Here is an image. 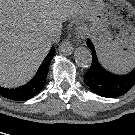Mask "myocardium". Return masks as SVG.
<instances>
[{
	"mask_svg": "<svg viewBox=\"0 0 135 135\" xmlns=\"http://www.w3.org/2000/svg\"><path fill=\"white\" fill-rule=\"evenodd\" d=\"M87 31H88V28L85 26L81 28L80 33L85 34Z\"/></svg>",
	"mask_w": 135,
	"mask_h": 135,
	"instance_id": "obj_1",
	"label": "myocardium"
}]
</instances>
